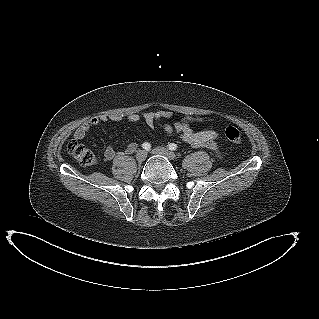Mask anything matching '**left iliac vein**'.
<instances>
[{"label": "left iliac vein", "mask_w": 319, "mask_h": 319, "mask_svg": "<svg viewBox=\"0 0 319 319\" xmlns=\"http://www.w3.org/2000/svg\"><path fill=\"white\" fill-rule=\"evenodd\" d=\"M152 153L155 155H162L168 158L169 160H174L176 158V155L174 152L168 150L164 147H156L152 150Z\"/></svg>", "instance_id": "obj_1"}]
</instances>
